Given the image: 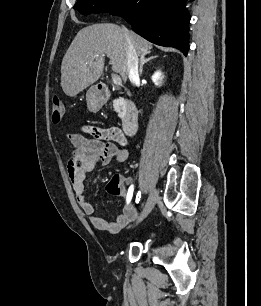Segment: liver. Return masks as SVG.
Segmentation results:
<instances>
[{"mask_svg":"<svg viewBox=\"0 0 261 306\" xmlns=\"http://www.w3.org/2000/svg\"><path fill=\"white\" fill-rule=\"evenodd\" d=\"M128 38L138 56L150 53L152 44L132 31ZM128 40L124 30L111 23H101L81 29L61 64V86L67 96L74 97L95 83L102 75L105 56L110 59L112 70L127 81Z\"/></svg>","mask_w":261,"mask_h":306,"instance_id":"obj_1","label":"liver"}]
</instances>
